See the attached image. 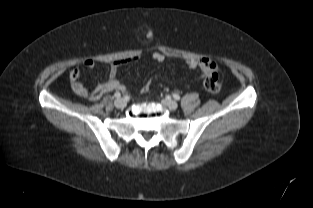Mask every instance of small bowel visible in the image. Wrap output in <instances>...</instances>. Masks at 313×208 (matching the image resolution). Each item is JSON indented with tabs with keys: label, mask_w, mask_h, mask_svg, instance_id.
Instances as JSON below:
<instances>
[{
	"label": "small bowel",
	"mask_w": 313,
	"mask_h": 208,
	"mask_svg": "<svg viewBox=\"0 0 313 208\" xmlns=\"http://www.w3.org/2000/svg\"><path fill=\"white\" fill-rule=\"evenodd\" d=\"M138 57H129L124 60L114 61L111 64L109 79L99 84L94 90H89L81 81L80 75L81 72L78 68L71 70L70 72V82L72 91L80 96L89 99L90 101H96L100 99L105 93L117 90V91H125V86L117 79V72L119 68L126 63L132 62L136 60ZM152 59L156 62H163L165 60L164 54L160 52H154L152 54ZM82 64L85 68L91 69L94 67L95 62L91 58H86L82 61ZM186 64L189 69H197L199 68L203 75L206 76L211 71L217 69V64L211 58L203 57L200 59H188Z\"/></svg>",
	"instance_id": "c3829d8e"
}]
</instances>
